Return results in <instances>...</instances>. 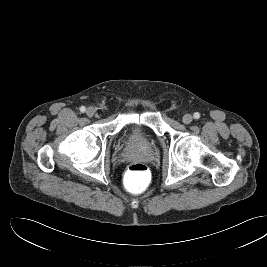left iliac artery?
<instances>
[{
  "label": "left iliac artery",
  "instance_id": "left-iliac-artery-1",
  "mask_svg": "<svg viewBox=\"0 0 267 267\" xmlns=\"http://www.w3.org/2000/svg\"><path fill=\"white\" fill-rule=\"evenodd\" d=\"M194 119H199L200 118V113L196 112L193 115Z\"/></svg>",
  "mask_w": 267,
  "mask_h": 267
}]
</instances>
